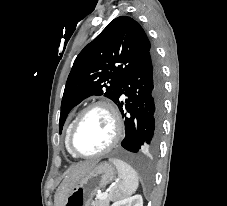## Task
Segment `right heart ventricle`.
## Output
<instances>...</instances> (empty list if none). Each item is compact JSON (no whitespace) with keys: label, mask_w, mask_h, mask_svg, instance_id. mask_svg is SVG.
<instances>
[{"label":"right heart ventricle","mask_w":227,"mask_h":206,"mask_svg":"<svg viewBox=\"0 0 227 206\" xmlns=\"http://www.w3.org/2000/svg\"><path fill=\"white\" fill-rule=\"evenodd\" d=\"M76 117H77V116H76ZM76 117L73 118V120L70 122V124H69L68 127H67V131H66V147H67L68 134H69V131H70V129H71V127H72V125H73V123H74ZM67 149H68V148H67ZM68 151H69V150H68Z\"/></svg>","instance_id":"right-heart-ventricle-1"}]
</instances>
